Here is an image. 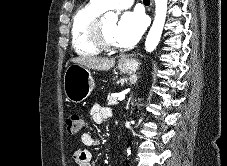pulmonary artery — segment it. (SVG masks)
Here are the masks:
<instances>
[{"instance_id": "obj_1", "label": "pulmonary artery", "mask_w": 227, "mask_h": 166, "mask_svg": "<svg viewBox=\"0 0 227 166\" xmlns=\"http://www.w3.org/2000/svg\"><path fill=\"white\" fill-rule=\"evenodd\" d=\"M103 9H124L132 6L135 0H93Z\"/></svg>"}]
</instances>
